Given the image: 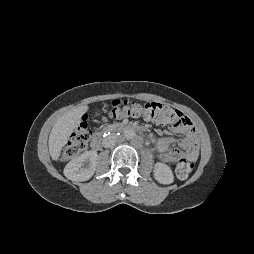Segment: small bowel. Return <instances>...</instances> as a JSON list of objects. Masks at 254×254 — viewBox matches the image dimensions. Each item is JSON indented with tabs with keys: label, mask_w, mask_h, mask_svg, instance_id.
I'll use <instances>...</instances> for the list:
<instances>
[{
	"label": "small bowel",
	"mask_w": 254,
	"mask_h": 254,
	"mask_svg": "<svg viewBox=\"0 0 254 254\" xmlns=\"http://www.w3.org/2000/svg\"><path fill=\"white\" fill-rule=\"evenodd\" d=\"M172 131L186 136L182 139H174L172 137H163L157 143V149L160 158L165 162H175L186 156L190 160H196L198 157V145L194 137V128L192 124L186 126H172ZM177 143L180 148L170 150V147Z\"/></svg>",
	"instance_id": "obj_1"
}]
</instances>
